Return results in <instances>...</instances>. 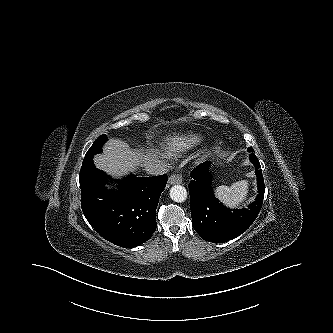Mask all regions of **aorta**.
Here are the masks:
<instances>
[{"instance_id": "762f6f07", "label": "aorta", "mask_w": 333, "mask_h": 333, "mask_svg": "<svg viewBox=\"0 0 333 333\" xmlns=\"http://www.w3.org/2000/svg\"><path fill=\"white\" fill-rule=\"evenodd\" d=\"M170 197L173 201L182 203L187 199V190L181 185H174L170 189Z\"/></svg>"}]
</instances>
